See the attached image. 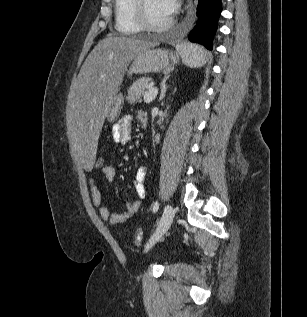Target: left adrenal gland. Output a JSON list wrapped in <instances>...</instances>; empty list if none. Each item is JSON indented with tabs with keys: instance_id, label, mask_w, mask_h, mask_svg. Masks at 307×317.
Returning <instances> with one entry per match:
<instances>
[{
	"instance_id": "left-adrenal-gland-1",
	"label": "left adrenal gland",
	"mask_w": 307,
	"mask_h": 317,
	"mask_svg": "<svg viewBox=\"0 0 307 317\" xmlns=\"http://www.w3.org/2000/svg\"><path fill=\"white\" fill-rule=\"evenodd\" d=\"M169 77H165L163 79V81L161 82L160 88H161V92H160V96H159V101L163 100V98L165 97V93L168 89V86L166 85V81Z\"/></svg>"
}]
</instances>
